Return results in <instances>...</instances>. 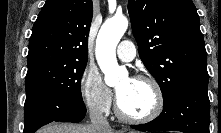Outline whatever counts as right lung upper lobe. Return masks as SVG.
<instances>
[{"label": "right lung upper lobe", "instance_id": "right-lung-upper-lobe-1", "mask_svg": "<svg viewBox=\"0 0 221 133\" xmlns=\"http://www.w3.org/2000/svg\"><path fill=\"white\" fill-rule=\"evenodd\" d=\"M92 0H47L32 29L28 72L87 62Z\"/></svg>", "mask_w": 221, "mask_h": 133}]
</instances>
